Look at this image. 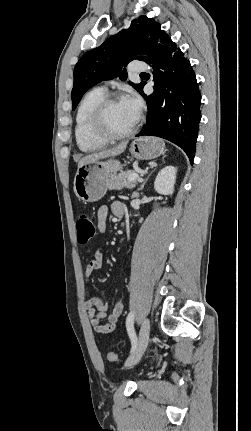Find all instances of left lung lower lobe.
Returning a JSON list of instances; mask_svg holds the SVG:
<instances>
[{"label":"left lung lower lobe","mask_w":251,"mask_h":431,"mask_svg":"<svg viewBox=\"0 0 251 431\" xmlns=\"http://www.w3.org/2000/svg\"><path fill=\"white\" fill-rule=\"evenodd\" d=\"M147 63H154V93L140 94L147 102L148 116L137 136H158L181 147L193 163L201 119L196 77L190 62L170 37L160 39ZM146 83L144 82L143 86Z\"/></svg>","instance_id":"0a47b994"}]
</instances>
